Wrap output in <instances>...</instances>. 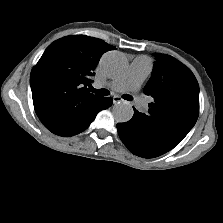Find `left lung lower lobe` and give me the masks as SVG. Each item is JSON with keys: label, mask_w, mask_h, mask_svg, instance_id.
<instances>
[{"label": "left lung lower lobe", "mask_w": 223, "mask_h": 223, "mask_svg": "<svg viewBox=\"0 0 223 223\" xmlns=\"http://www.w3.org/2000/svg\"><path fill=\"white\" fill-rule=\"evenodd\" d=\"M123 124H117L118 134L126 147L143 158L158 157L180 143L165 133L150 130L136 115Z\"/></svg>", "instance_id": "obj_1"}]
</instances>
